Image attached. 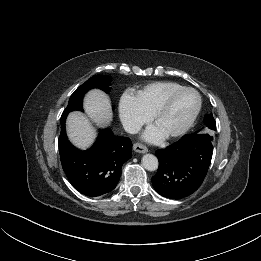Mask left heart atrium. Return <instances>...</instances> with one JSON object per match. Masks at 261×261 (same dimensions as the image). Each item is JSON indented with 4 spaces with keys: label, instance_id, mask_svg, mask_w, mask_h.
<instances>
[{
    "label": "left heart atrium",
    "instance_id": "1",
    "mask_svg": "<svg viewBox=\"0 0 261 261\" xmlns=\"http://www.w3.org/2000/svg\"><path fill=\"white\" fill-rule=\"evenodd\" d=\"M162 137L163 134L156 127H151L144 134V138L149 142H158Z\"/></svg>",
    "mask_w": 261,
    "mask_h": 261
}]
</instances>
